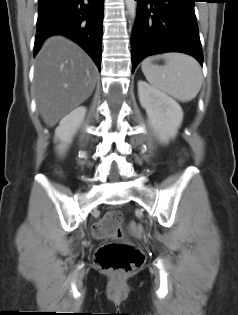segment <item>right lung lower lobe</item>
<instances>
[{
	"instance_id": "obj_1",
	"label": "right lung lower lobe",
	"mask_w": 238,
	"mask_h": 315,
	"mask_svg": "<svg viewBox=\"0 0 238 315\" xmlns=\"http://www.w3.org/2000/svg\"><path fill=\"white\" fill-rule=\"evenodd\" d=\"M104 0H39L34 56L50 35L63 34L101 65Z\"/></svg>"
}]
</instances>
